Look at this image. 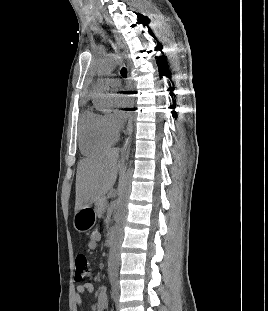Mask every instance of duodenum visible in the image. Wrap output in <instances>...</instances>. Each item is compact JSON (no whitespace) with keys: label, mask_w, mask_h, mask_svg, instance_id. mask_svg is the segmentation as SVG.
<instances>
[{"label":"duodenum","mask_w":268,"mask_h":311,"mask_svg":"<svg viewBox=\"0 0 268 311\" xmlns=\"http://www.w3.org/2000/svg\"><path fill=\"white\" fill-rule=\"evenodd\" d=\"M114 243V233L110 232L107 237V244L110 246Z\"/></svg>","instance_id":"1"}]
</instances>
